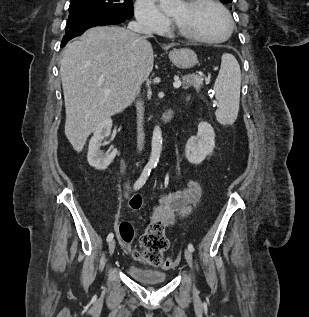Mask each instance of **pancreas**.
Returning a JSON list of instances; mask_svg holds the SVG:
<instances>
[{"label":"pancreas","instance_id":"cf45deb5","mask_svg":"<svg viewBox=\"0 0 309 317\" xmlns=\"http://www.w3.org/2000/svg\"><path fill=\"white\" fill-rule=\"evenodd\" d=\"M183 80V88L188 89L193 86L197 91L200 90L201 83L200 80H203L200 76L189 74L182 77Z\"/></svg>","mask_w":309,"mask_h":317}]
</instances>
